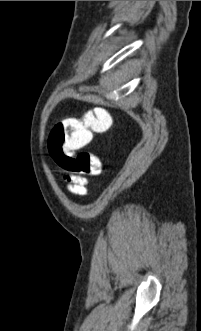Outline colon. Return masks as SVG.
I'll return each mask as SVG.
<instances>
[{
  "label": "colon",
  "instance_id": "5ec220e1",
  "mask_svg": "<svg viewBox=\"0 0 201 331\" xmlns=\"http://www.w3.org/2000/svg\"><path fill=\"white\" fill-rule=\"evenodd\" d=\"M111 114L103 108L87 112L82 118H65L57 122L48 137V151L55 163L65 172L100 175L101 160L94 154L75 152L90 143L93 133H103L112 126Z\"/></svg>",
  "mask_w": 201,
  "mask_h": 331
}]
</instances>
